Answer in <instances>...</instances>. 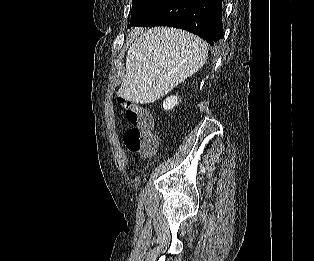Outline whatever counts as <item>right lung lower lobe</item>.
Returning <instances> with one entry per match:
<instances>
[{
    "label": "right lung lower lobe",
    "mask_w": 314,
    "mask_h": 261,
    "mask_svg": "<svg viewBox=\"0 0 314 261\" xmlns=\"http://www.w3.org/2000/svg\"><path fill=\"white\" fill-rule=\"evenodd\" d=\"M132 26L176 27L214 45L223 36L222 0H169L142 22Z\"/></svg>",
    "instance_id": "obj_1"
}]
</instances>
